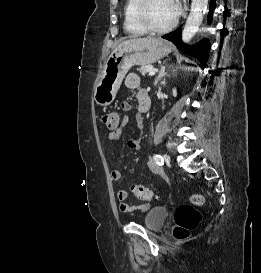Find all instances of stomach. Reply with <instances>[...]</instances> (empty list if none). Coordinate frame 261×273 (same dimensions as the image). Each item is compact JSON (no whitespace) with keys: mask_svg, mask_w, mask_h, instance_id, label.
Segmentation results:
<instances>
[{"mask_svg":"<svg viewBox=\"0 0 261 273\" xmlns=\"http://www.w3.org/2000/svg\"><path fill=\"white\" fill-rule=\"evenodd\" d=\"M170 52L169 44L159 38L146 37L122 42L105 62L102 78L95 86V102L100 106L111 104L132 66L150 65Z\"/></svg>","mask_w":261,"mask_h":273,"instance_id":"stomach-1","label":"stomach"}]
</instances>
